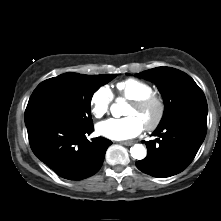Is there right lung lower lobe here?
<instances>
[{
  "mask_svg": "<svg viewBox=\"0 0 221 221\" xmlns=\"http://www.w3.org/2000/svg\"><path fill=\"white\" fill-rule=\"evenodd\" d=\"M33 153L57 175L82 180L101 168L112 142L103 137L88 141L93 126L79 128L56 118H38L26 124Z\"/></svg>",
  "mask_w": 221,
  "mask_h": 221,
  "instance_id": "right-lung-lower-lobe-1",
  "label": "right lung lower lobe"
}]
</instances>
